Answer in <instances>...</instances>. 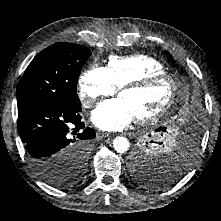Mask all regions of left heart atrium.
<instances>
[{
  "label": "left heart atrium",
  "instance_id": "1",
  "mask_svg": "<svg viewBox=\"0 0 221 221\" xmlns=\"http://www.w3.org/2000/svg\"><path fill=\"white\" fill-rule=\"evenodd\" d=\"M91 119L102 130L117 131L127 127L135 116L127 102L119 97L100 103Z\"/></svg>",
  "mask_w": 221,
  "mask_h": 221
}]
</instances>
